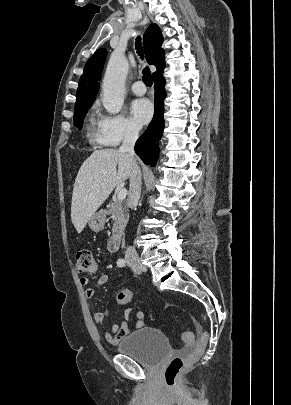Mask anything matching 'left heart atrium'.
I'll list each match as a JSON object with an SVG mask.
<instances>
[{
	"label": "left heart atrium",
	"instance_id": "obj_1",
	"mask_svg": "<svg viewBox=\"0 0 291 405\" xmlns=\"http://www.w3.org/2000/svg\"><path fill=\"white\" fill-rule=\"evenodd\" d=\"M130 111L138 124H145L152 117L153 106L148 99H137L132 103Z\"/></svg>",
	"mask_w": 291,
	"mask_h": 405
}]
</instances>
